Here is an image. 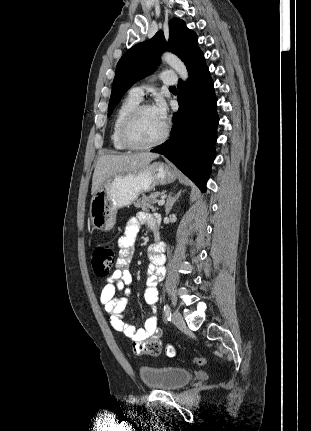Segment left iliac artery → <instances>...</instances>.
Masks as SVG:
<instances>
[{"mask_svg": "<svg viewBox=\"0 0 311 431\" xmlns=\"http://www.w3.org/2000/svg\"><path fill=\"white\" fill-rule=\"evenodd\" d=\"M164 316H165V320L166 321H170L171 320V309L170 306L168 304H166L164 306Z\"/></svg>", "mask_w": 311, "mask_h": 431, "instance_id": "1", "label": "left iliac artery"}]
</instances>
